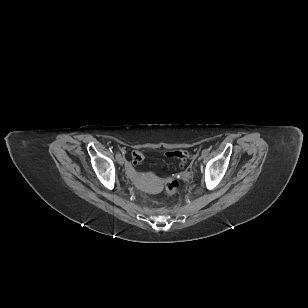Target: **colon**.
Masks as SVG:
<instances>
[{"instance_id": "5ec220e1", "label": "colon", "mask_w": 308, "mask_h": 308, "mask_svg": "<svg viewBox=\"0 0 308 308\" xmlns=\"http://www.w3.org/2000/svg\"><path fill=\"white\" fill-rule=\"evenodd\" d=\"M168 156L180 159L182 162L187 160V153L185 151H172L168 153ZM134 163H140L143 160V155L140 152H134L132 155ZM165 190L169 195H173L179 188V183L173 178H167L164 181Z\"/></svg>"}]
</instances>
